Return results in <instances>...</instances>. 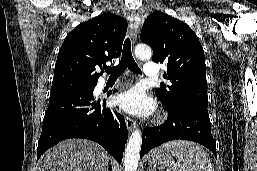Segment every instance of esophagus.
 Instances as JSON below:
<instances>
[{
    "instance_id": "obj_1",
    "label": "esophagus",
    "mask_w": 257,
    "mask_h": 171,
    "mask_svg": "<svg viewBox=\"0 0 257 171\" xmlns=\"http://www.w3.org/2000/svg\"><path fill=\"white\" fill-rule=\"evenodd\" d=\"M139 23H140L139 14L136 12H133L129 18L130 36L133 44L137 40ZM125 122H126L128 131H132L136 127V122L128 116L125 118Z\"/></svg>"
}]
</instances>
